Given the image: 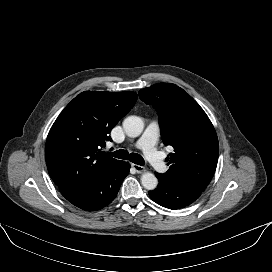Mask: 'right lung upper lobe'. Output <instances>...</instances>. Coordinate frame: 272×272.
Listing matches in <instances>:
<instances>
[{
	"mask_svg": "<svg viewBox=\"0 0 272 272\" xmlns=\"http://www.w3.org/2000/svg\"><path fill=\"white\" fill-rule=\"evenodd\" d=\"M136 100L131 91H84L64 108L45 146L48 172L59 189L88 184L118 161L100 148Z\"/></svg>",
	"mask_w": 272,
	"mask_h": 272,
	"instance_id": "1",
	"label": "right lung upper lobe"
}]
</instances>
